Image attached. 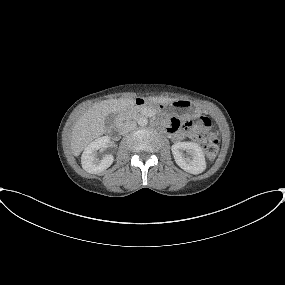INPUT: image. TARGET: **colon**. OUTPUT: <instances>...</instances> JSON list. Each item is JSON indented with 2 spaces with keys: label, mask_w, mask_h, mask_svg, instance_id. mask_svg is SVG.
I'll list each match as a JSON object with an SVG mask.
<instances>
[{
  "label": "colon",
  "mask_w": 285,
  "mask_h": 285,
  "mask_svg": "<svg viewBox=\"0 0 285 285\" xmlns=\"http://www.w3.org/2000/svg\"><path fill=\"white\" fill-rule=\"evenodd\" d=\"M209 125L206 117H202L196 122H187L185 124L188 133L195 139L204 144L205 152L209 160H213L218 152V139L213 134L205 133V129Z\"/></svg>",
  "instance_id": "obj_1"
}]
</instances>
